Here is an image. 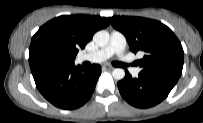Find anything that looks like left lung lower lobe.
<instances>
[{"instance_id": "left-lung-lower-lobe-1", "label": "left lung lower lobe", "mask_w": 203, "mask_h": 123, "mask_svg": "<svg viewBox=\"0 0 203 123\" xmlns=\"http://www.w3.org/2000/svg\"><path fill=\"white\" fill-rule=\"evenodd\" d=\"M178 77L155 72L141 71L138 78H132L128 71L118 82L121 96L132 106L152 107L164 100L178 81Z\"/></svg>"}]
</instances>
